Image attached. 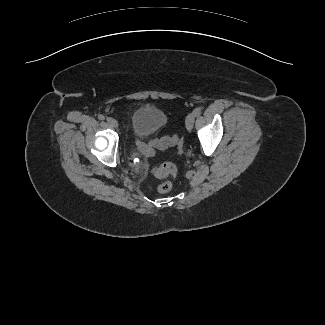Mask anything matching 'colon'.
Segmentation results:
<instances>
[{"label":"colon","mask_w":325,"mask_h":325,"mask_svg":"<svg viewBox=\"0 0 325 325\" xmlns=\"http://www.w3.org/2000/svg\"><path fill=\"white\" fill-rule=\"evenodd\" d=\"M178 142V136H167L161 139L152 141L146 148L145 152L148 157H152L157 149H165L175 145ZM177 167L170 162L163 163L153 169L154 175L159 179H164L163 182L157 185V190L160 193H167L173 187V181L177 176Z\"/></svg>","instance_id":"obj_1"}]
</instances>
